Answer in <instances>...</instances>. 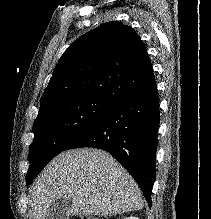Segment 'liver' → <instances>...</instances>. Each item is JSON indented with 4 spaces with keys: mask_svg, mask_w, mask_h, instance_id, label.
I'll use <instances>...</instances> for the list:
<instances>
[{
    "mask_svg": "<svg viewBox=\"0 0 211 219\" xmlns=\"http://www.w3.org/2000/svg\"><path fill=\"white\" fill-rule=\"evenodd\" d=\"M33 219H45L51 204L72 203L68 216H113L140 210V188L130 174L107 152L75 149L56 156L32 186Z\"/></svg>",
    "mask_w": 211,
    "mask_h": 219,
    "instance_id": "1",
    "label": "liver"
}]
</instances>
